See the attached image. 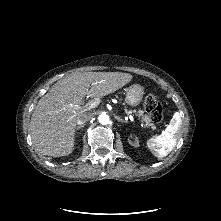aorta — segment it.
Listing matches in <instances>:
<instances>
[{"label": "aorta", "mask_w": 221, "mask_h": 221, "mask_svg": "<svg viewBox=\"0 0 221 221\" xmlns=\"http://www.w3.org/2000/svg\"><path fill=\"white\" fill-rule=\"evenodd\" d=\"M98 120L102 125H107L110 122V118L105 112L100 113Z\"/></svg>", "instance_id": "obj_1"}]
</instances>
